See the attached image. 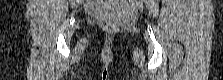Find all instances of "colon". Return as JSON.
<instances>
[{
    "instance_id": "obj_1",
    "label": "colon",
    "mask_w": 223,
    "mask_h": 80,
    "mask_svg": "<svg viewBox=\"0 0 223 80\" xmlns=\"http://www.w3.org/2000/svg\"><path fill=\"white\" fill-rule=\"evenodd\" d=\"M103 27L108 31H112L115 29V25L108 22L103 23Z\"/></svg>"
}]
</instances>
